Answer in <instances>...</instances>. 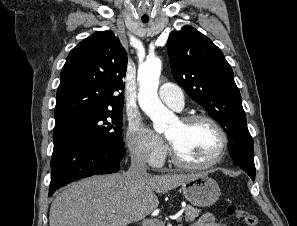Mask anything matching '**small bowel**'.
Wrapping results in <instances>:
<instances>
[{
  "instance_id": "small-bowel-1",
  "label": "small bowel",
  "mask_w": 297,
  "mask_h": 226,
  "mask_svg": "<svg viewBox=\"0 0 297 226\" xmlns=\"http://www.w3.org/2000/svg\"><path fill=\"white\" fill-rule=\"evenodd\" d=\"M192 226H227L215 221L211 213H204Z\"/></svg>"
}]
</instances>
